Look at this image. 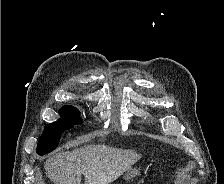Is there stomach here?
<instances>
[{
	"label": "stomach",
	"mask_w": 224,
	"mask_h": 184,
	"mask_svg": "<svg viewBox=\"0 0 224 184\" xmlns=\"http://www.w3.org/2000/svg\"><path fill=\"white\" fill-rule=\"evenodd\" d=\"M137 175H140V171L138 169H129L125 175L124 179L127 181L133 180Z\"/></svg>",
	"instance_id": "stomach-1"
}]
</instances>
